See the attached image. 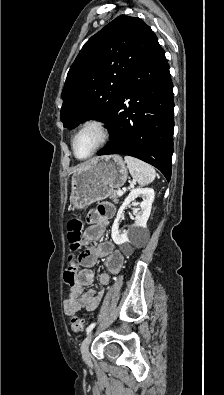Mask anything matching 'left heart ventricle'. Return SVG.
Wrapping results in <instances>:
<instances>
[{"instance_id":"1","label":"left heart ventricle","mask_w":224,"mask_h":395,"mask_svg":"<svg viewBox=\"0 0 224 395\" xmlns=\"http://www.w3.org/2000/svg\"><path fill=\"white\" fill-rule=\"evenodd\" d=\"M98 133L94 129L82 132L75 141V153L79 158L88 156L94 149L98 141Z\"/></svg>"}]
</instances>
